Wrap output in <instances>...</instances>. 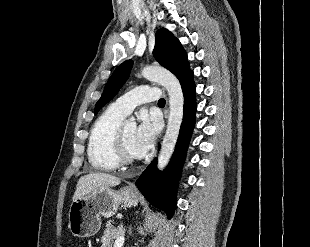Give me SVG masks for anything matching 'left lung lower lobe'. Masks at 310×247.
I'll return each mask as SVG.
<instances>
[{"instance_id": "left-lung-lower-lobe-1", "label": "left lung lower lobe", "mask_w": 310, "mask_h": 247, "mask_svg": "<svg viewBox=\"0 0 310 247\" xmlns=\"http://www.w3.org/2000/svg\"><path fill=\"white\" fill-rule=\"evenodd\" d=\"M179 81L184 95L183 122L171 162L168 168L160 173L155 159L136 181V186L144 197L153 206L165 211L169 219L175 210L176 185L195 125L196 112V87L193 72L189 71Z\"/></svg>"}]
</instances>
